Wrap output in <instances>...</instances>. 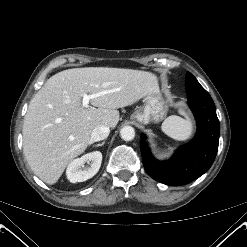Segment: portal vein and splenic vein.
Segmentation results:
<instances>
[{"label":"portal vein and splenic vein","instance_id":"18ae733b","mask_svg":"<svg viewBox=\"0 0 247 247\" xmlns=\"http://www.w3.org/2000/svg\"><path fill=\"white\" fill-rule=\"evenodd\" d=\"M102 94H104V92L96 93V94H91V95L84 94L83 95V99H82V105H83V107H88L89 101L91 99L97 98V97L101 96Z\"/></svg>","mask_w":247,"mask_h":247}]
</instances>
